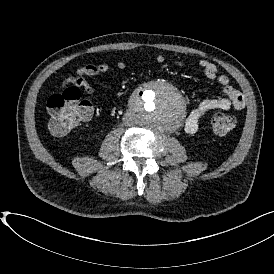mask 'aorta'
I'll use <instances>...</instances> for the list:
<instances>
[{"instance_id":"1","label":"aorta","mask_w":274,"mask_h":274,"mask_svg":"<svg viewBox=\"0 0 274 274\" xmlns=\"http://www.w3.org/2000/svg\"><path fill=\"white\" fill-rule=\"evenodd\" d=\"M130 109L138 125L160 132L174 131L186 113L181 93L162 80L151 81L139 89L130 100Z\"/></svg>"}]
</instances>
